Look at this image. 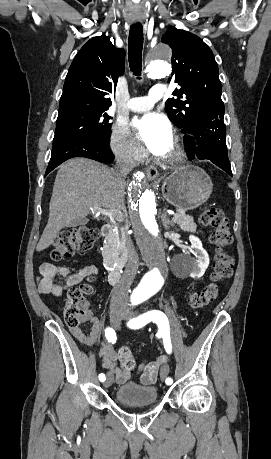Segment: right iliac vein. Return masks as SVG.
Wrapping results in <instances>:
<instances>
[{"label": "right iliac vein", "instance_id": "63e3f726", "mask_svg": "<svg viewBox=\"0 0 271 459\" xmlns=\"http://www.w3.org/2000/svg\"><path fill=\"white\" fill-rule=\"evenodd\" d=\"M124 309H115L110 311V320L115 327H119L121 320L124 315ZM113 383V373L108 372L105 382L103 383L104 387H109Z\"/></svg>", "mask_w": 271, "mask_h": 459}]
</instances>
